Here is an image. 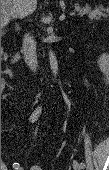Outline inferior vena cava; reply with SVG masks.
Wrapping results in <instances>:
<instances>
[{
    "instance_id": "602c4592",
    "label": "inferior vena cava",
    "mask_w": 109,
    "mask_h": 170,
    "mask_svg": "<svg viewBox=\"0 0 109 170\" xmlns=\"http://www.w3.org/2000/svg\"><path fill=\"white\" fill-rule=\"evenodd\" d=\"M23 53L25 62L30 70L36 72L38 66L36 57V46L33 37L29 34H25L23 39Z\"/></svg>"
}]
</instances>
